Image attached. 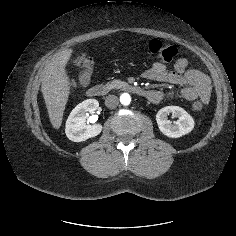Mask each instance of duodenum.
<instances>
[{
  "mask_svg": "<svg viewBox=\"0 0 236 236\" xmlns=\"http://www.w3.org/2000/svg\"><path fill=\"white\" fill-rule=\"evenodd\" d=\"M121 88L143 98H149L152 94L150 90L131 83H124L121 85ZM107 91V86L102 84H96L89 87V89L87 90V95L91 98H95L105 95Z\"/></svg>",
  "mask_w": 236,
  "mask_h": 236,
  "instance_id": "obj_1",
  "label": "duodenum"
}]
</instances>
